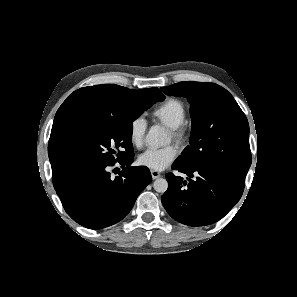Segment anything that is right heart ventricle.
Instances as JSON below:
<instances>
[{
    "mask_svg": "<svg viewBox=\"0 0 297 297\" xmlns=\"http://www.w3.org/2000/svg\"><path fill=\"white\" fill-rule=\"evenodd\" d=\"M152 117L167 127L174 128L184 123L186 109L183 102L179 99L168 98L153 109Z\"/></svg>",
    "mask_w": 297,
    "mask_h": 297,
    "instance_id": "obj_1",
    "label": "right heart ventricle"
}]
</instances>
